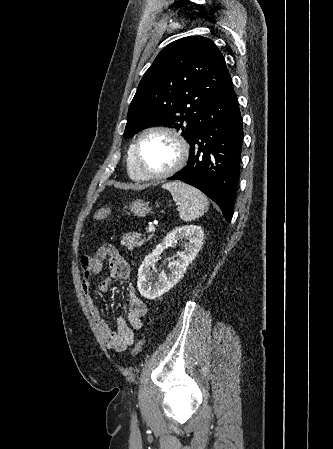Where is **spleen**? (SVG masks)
<instances>
[{
	"instance_id": "1",
	"label": "spleen",
	"mask_w": 333,
	"mask_h": 449,
	"mask_svg": "<svg viewBox=\"0 0 333 449\" xmlns=\"http://www.w3.org/2000/svg\"><path fill=\"white\" fill-rule=\"evenodd\" d=\"M179 206L180 218L187 222L202 216L208 209L206 196L197 188L175 181L163 185Z\"/></svg>"
}]
</instances>
